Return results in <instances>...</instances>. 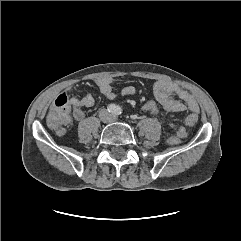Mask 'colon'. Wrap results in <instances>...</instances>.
Masks as SVG:
<instances>
[{
    "label": "colon",
    "mask_w": 241,
    "mask_h": 241,
    "mask_svg": "<svg viewBox=\"0 0 241 241\" xmlns=\"http://www.w3.org/2000/svg\"><path fill=\"white\" fill-rule=\"evenodd\" d=\"M79 110V105L72 104L65 94H60L50 107L47 115V124L57 133H62L71 121V114L73 113L74 115ZM142 110L156 119L161 118L159 107L153 100L145 101L142 104ZM184 122L187 126H193L198 122V116L190 114L185 118ZM170 127L173 129L174 135L168 139V142L171 145H177L187 136V130L175 124H170Z\"/></svg>",
    "instance_id": "5ec220e1"
}]
</instances>
